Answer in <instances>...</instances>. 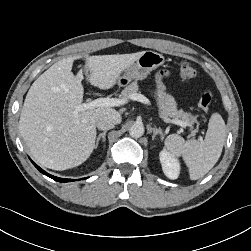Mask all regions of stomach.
I'll return each instance as SVG.
<instances>
[{
  "mask_svg": "<svg viewBox=\"0 0 251 251\" xmlns=\"http://www.w3.org/2000/svg\"><path fill=\"white\" fill-rule=\"evenodd\" d=\"M164 56L154 51H144V53L124 70V75L118 79V84L123 86L132 79L142 80L146 78L151 71L156 70L164 64Z\"/></svg>",
  "mask_w": 251,
  "mask_h": 251,
  "instance_id": "stomach-1",
  "label": "stomach"
}]
</instances>
